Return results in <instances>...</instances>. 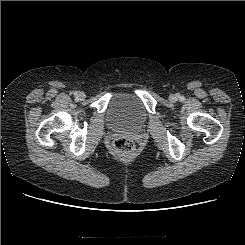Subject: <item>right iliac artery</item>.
Listing matches in <instances>:
<instances>
[{
  "instance_id": "right-iliac-artery-1",
  "label": "right iliac artery",
  "mask_w": 245,
  "mask_h": 245,
  "mask_svg": "<svg viewBox=\"0 0 245 245\" xmlns=\"http://www.w3.org/2000/svg\"><path fill=\"white\" fill-rule=\"evenodd\" d=\"M77 93H78L77 91H76V92H74V95H77Z\"/></svg>"
}]
</instances>
